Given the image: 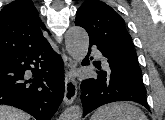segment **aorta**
Instances as JSON below:
<instances>
[{
	"instance_id": "1",
	"label": "aorta",
	"mask_w": 165,
	"mask_h": 120,
	"mask_svg": "<svg viewBox=\"0 0 165 120\" xmlns=\"http://www.w3.org/2000/svg\"><path fill=\"white\" fill-rule=\"evenodd\" d=\"M65 44L69 55L76 61H82L88 53V34L82 27L72 26L66 33ZM81 116L82 108L71 106L61 114L59 120H80Z\"/></svg>"
}]
</instances>
